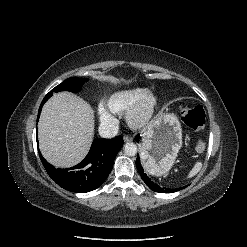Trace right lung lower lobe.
<instances>
[{"label": "right lung lower lobe", "mask_w": 247, "mask_h": 247, "mask_svg": "<svg viewBox=\"0 0 247 247\" xmlns=\"http://www.w3.org/2000/svg\"><path fill=\"white\" fill-rule=\"evenodd\" d=\"M52 95H46L40 105L38 119L44 103ZM123 146V138L98 139L92 143L85 159L74 167L55 168L40 159L49 176L62 188L76 193H85L98 188L110 174L114 159Z\"/></svg>", "instance_id": "right-lung-lower-lobe-1"}]
</instances>
